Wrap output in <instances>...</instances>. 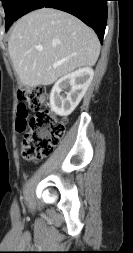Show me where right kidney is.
<instances>
[{
    "instance_id": "obj_1",
    "label": "right kidney",
    "mask_w": 133,
    "mask_h": 253,
    "mask_svg": "<svg viewBox=\"0 0 133 253\" xmlns=\"http://www.w3.org/2000/svg\"><path fill=\"white\" fill-rule=\"evenodd\" d=\"M93 76V70L86 67L60 78L50 93L52 111L60 116L70 115L86 93Z\"/></svg>"
}]
</instances>
